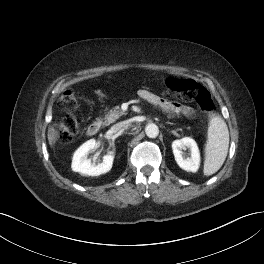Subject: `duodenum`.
Returning a JSON list of instances; mask_svg holds the SVG:
<instances>
[{"label":"duodenum","mask_w":264,"mask_h":264,"mask_svg":"<svg viewBox=\"0 0 264 264\" xmlns=\"http://www.w3.org/2000/svg\"><path fill=\"white\" fill-rule=\"evenodd\" d=\"M99 129H100V122L98 121L92 122L87 128V134L89 136H95L99 132Z\"/></svg>","instance_id":"duodenum-1"}]
</instances>
